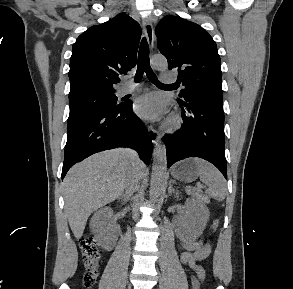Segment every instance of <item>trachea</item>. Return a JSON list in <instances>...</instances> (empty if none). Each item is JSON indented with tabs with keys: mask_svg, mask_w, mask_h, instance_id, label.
<instances>
[{
	"mask_svg": "<svg viewBox=\"0 0 293 289\" xmlns=\"http://www.w3.org/2000/svg\"><path fill=\"white\" fill-rule=\"evenodd\" d=\"M146 73L148 79L157 86H167L171 84H163L158 79L153 70L151 69L149 62V46L146 38H143L140 44L138 53V65L135 75V82H140L142 80L143 74Z\"/></svg>",
	"mask_w": 293,
	"mask_h": 289,
	"instance_id": "1",
	"label": "trachea"
}]
</instances>
